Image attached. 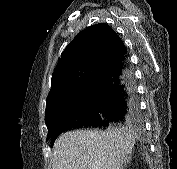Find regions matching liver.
<instances>
[{"label": "liver", "mask_w": 177, "mask_h": 169, "mask_svg": "<svg viewBox=\"0 0 177 169\" xmlns=\"http://www.w3.org/2000/svg\"><path fill=\"white\" fill-rule=\"evenodd\" d=\"M134 144L129 127L69 131L54 144L52 169H123Z\"/></svg>", "instance_id": "liver-1"}]
</instances>
